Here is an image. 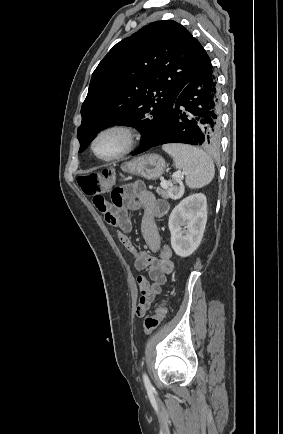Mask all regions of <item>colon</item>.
Listing matches in <instances>:
<instances>
[{"mask_svg": "<svg viewBox=\"0 0 283 434\" xmlns=\"http://www.w3.org/2000/svg\"><path fill=\"white\" fill-rule=\"evenodd\" d=\"M112 170H104L102 173L82 174L78 177V184L87 196H96L107 190L113 182ZM167 312L166 300L158 301L155 310L144 320V333L150 335L159 326Z\"/></svg>", "mask_w": 283, "mask_h": 434, "instance_id": "colon-1", "label": "colon"}]
</instances>
